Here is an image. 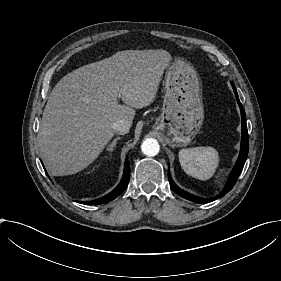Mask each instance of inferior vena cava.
Listing matches in <instances>:
<instances>
[{"mask_svg":"<svg viewBox=\"0 0 281 281\" xmlns=\"http://www.w3.org/2000/svg\"><path fill=\"white\" fill-rule=\"evenodd\" d=\"M131 124L125 120H118L113 123L112 128L118 134H127L129 132Z\"/></svg>","mask_w":281,"mask_h":281,"instance_id":"inferior-vena-cava-1","label":"inferior vena cava"}]
</instances>
